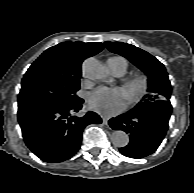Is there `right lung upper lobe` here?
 I'll use <instances>...</instances> for the list:
<instances>
[{
	"label": "right lung upper lobe",
	"instance_id": "right-lung-upper-lobe-1",
	"mask_svg": "<svg viewBox=\"0 0 194 193\" xmlns=\"http://www.w3.org/2000/svg\"><path fill=\"white\" fill-rule=\"evenodd\" d=\"M104 48L103 43L63 42L47 49L28 69L22 81L35 74L81 76V64Z\"/></svg>",
	"mask_w": 194,
	"mask_h": 193
}]
</instances>
